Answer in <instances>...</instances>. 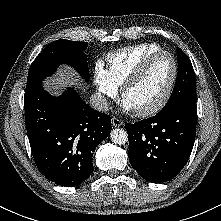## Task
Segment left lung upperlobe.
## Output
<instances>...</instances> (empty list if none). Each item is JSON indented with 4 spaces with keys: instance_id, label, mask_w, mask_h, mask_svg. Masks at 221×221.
<instances>
[{
    "instance_id": "5c2ea615",
    "label": "left lung upper lobe",
    "mask_w": 221,
    "mask_h": 221,
    "mask_svg": "<svg viewBox=\"0 0 221 221\" xmlns=\"http://www.w3.org/2000/svg\"><path fill=\"white\" fill-rule=\"evenodd\" d=\"M178 73L172 94L159 112L163 113L183 102H196L195 73L188 56L180 49H177Z\"/></svg>"
}]
</instances>
